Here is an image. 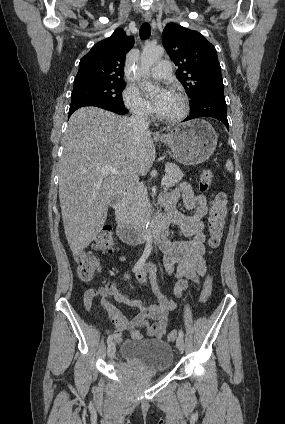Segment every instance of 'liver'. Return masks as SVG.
<instances>
[{
	"mask_svg": "<svg viewBox=\"0 0 285 424\" xmlns=\"http://www.w3.org/2000/svg\"><path fill=\"white\" fill-rule=\"evenodd\" d=\"M155 157L151 134L136 133L130 118L97 107L72 114L59 161V200L74 255L100 233L111 201L146 175ZM105 166L116 167L121 174L102 176Z\"/></svg>",
	"mask_w": 285,
	"mask_h": 424,
	"instance_id": "obj_1",
	"label": "liver"
}]
</instances>
